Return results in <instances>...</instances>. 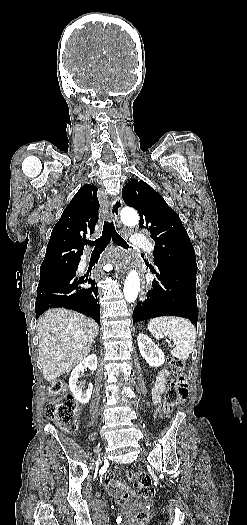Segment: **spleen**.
Segmentation results:
<instances>
[{
	"mask_svg": "<svg viewBox=\"0 0 247 525\" xmlns=\"http://www.w3.org/2000/svg\"><path fill=\"white\" fill-rule=\"evenodd\" d=\"M148 329L154 337L162 339L164 335L173 341L172 357L179 361H187L196 343V329L189 319L182 317H157L150 319Z\"/></svg>",
	"mask_w": 247,
	"mask_h": 525,
	"instance_id": "obj_1",
	"label": "spleen"
}]
</instances>
